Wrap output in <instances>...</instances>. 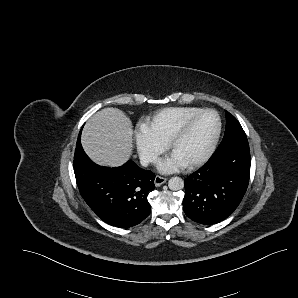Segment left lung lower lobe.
<instances>
[{"label": "left lung lower lobe", "mask_w": 298, "mask_h": 298, "mask_svg": "<svg viewBox=\"0 0 298 298\" xmlns=\"http://www.w3.org/2000/svg\"><path fill=\"white\" fill-rule=\"evenodd\" d=\"M250 164L246 135L221 142L209 161L184 180L185 214L204 225L227 218L247 190Z\"/></svg>", "instance_id": "obj_1"}]
</instances>
